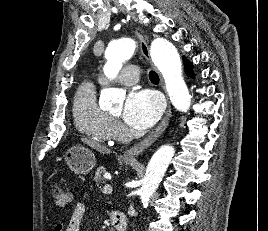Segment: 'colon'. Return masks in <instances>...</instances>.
Here are the masks:
<instances>
[{"label": "colon", "mask_w": 268, "mask_h": 231, "mask_svg": "<svg viewBox=\"0 0 268 231\" xmlns=\"http://www.w3.org/2000/svg\"><path fill=\"white\" fill-rule=\"evenodd\" d=\"M52 196H53V200L55 202V205L58 208L64 209V208L68 207V205L70 203V198L64 190L56 188L53 190Z\"/></svg>", "instance_id": "colon-1"}]
</instances>
